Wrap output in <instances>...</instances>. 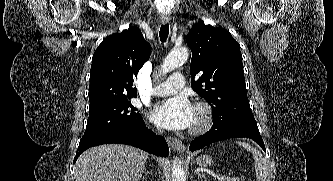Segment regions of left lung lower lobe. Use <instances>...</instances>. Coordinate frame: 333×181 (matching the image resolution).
I'll use <instances>...</instances> for the list:
<instances>
[{"mask_svg":"<svg viewBox=\"0 0 333 181\" xmlns=\"http://www.w3.org/2000/svg\"><path fill=\"white\" fill-rule=\"evenodd\" d=\"M213 126L204 135L195 138L190 144V150L193 152L206 145L220 140H225L235 137H246L254 140L259 144L264 151L265 145L260 136V133H254L248 130L240 129L237 127L233 119L226 115H213Z\"/></svg>","mask_w":333,"mask_h":181,"instance_id":"0a47b994","label":"left lung lower lobe"}]
</instances>
